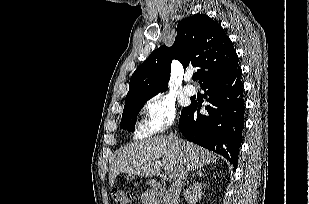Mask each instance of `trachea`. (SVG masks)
Masks as SVG:
<instances>
[{
    "label": "trachea",
    "instance_id": "1",
    "mask_svg": "<svg viewBox=\"0 0 309 204\" xmlns=\"http://www.w3.org/2000/svg\"><path fill=\"white\" fill-rule=\"evenodd\" d=\"M198 78H199V74H196V73H195V74L193 75V79H194V80H197Z\"/></svg>",
    "mask_w": 309,
    "mask_h": 204
}]
</instances>
